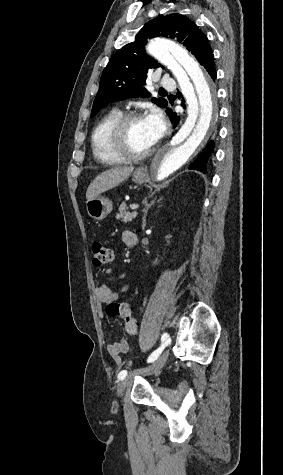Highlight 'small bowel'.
<instances>
[{
	"label": "small bowel",
	"instance_id": "c3829d8e",
	"mask_svg": "<svg viewBox=\"0 0 283 475\" xmlns=\"http://www.w3.org/2000/svg\"><path fill=\"white\" fill-rule=\"evenodd\" d=\"M123 241L127 246H134L136 244L137 238L134 233L126 231L123 233ZM128 286L122 287V291H126ZM94 296L97 307L102 312V307L104 304H109L110 298H117V293L107 284H97L94 289ZM129 312L131 309L129 307ZM107 313L110 317H116L113 313L107 310ZM138 326V325H137ZM108 353L113 358L117 365L122 364V356L129 351V344L125 339H120L119 341L110 343L107 347Z\"/></svg>",
	"mask_w": 283,
	"mask_h": 475
}]
</instances>
